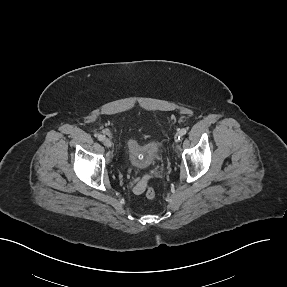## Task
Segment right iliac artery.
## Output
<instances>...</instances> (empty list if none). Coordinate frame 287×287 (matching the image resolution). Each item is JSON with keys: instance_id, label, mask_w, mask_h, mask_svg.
<instances>
[{"instance_id": "1", "label": "right iliac artery", "mask_w": 287, "mask_h": 287, "mask_svg": "<svg viewBox=\"0 0 287 287\" xmlns=\"http://www.w3.org/2000/svg\"><path fill=\"white\" fill-rule=\"evenodd\" d=\"M97 138H98L99 141H103V140L105 139V136L99 134V135L97 136Z\"/></svg>"}]
</instances>
